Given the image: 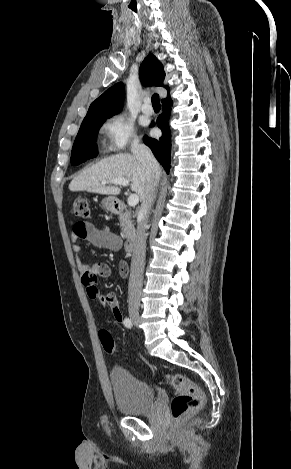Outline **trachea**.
Masks as SVG:
<instances>
[{
  "label": "trachea",
  "mask_w": 291,
  "mask_h": 469,
  "mask_svg": "<svg viewBox=\"0 0 291 469\" xmlns=\"http://www.w3.org/2000/svg\"><path fill=\"white\" fill-rule=\"evenodd\" d=\"M151 100H152V106H153L154 108H160V107H161V105H160V100H159V95H158V94H156V93L153 94Z\"/></svg>",
  "instance_id": "3493384b"
}]
</instances>
